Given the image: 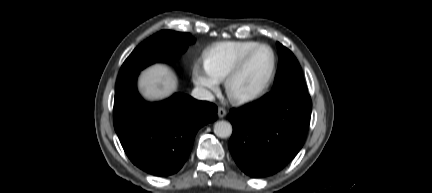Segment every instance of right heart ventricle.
Listing matches in <instances>:
<instances>
[{
  "label": "right heart ventricle",
  "instance_id": "e07e8e85",
  "mask_svg": "<svg viewBox=\"0 0 432 193\" xmlns=\"http://www.w3.org/2000/svg\"><path fill=\"white\" fill-rule=\"evenodd\" d=\"M258 44L260 43L253 40L216 43L205 51L204 66L221 82L239 59Z\"/></svg>",
  "mask_w": 432,
  "mask_h": 193
}]
</instances>
